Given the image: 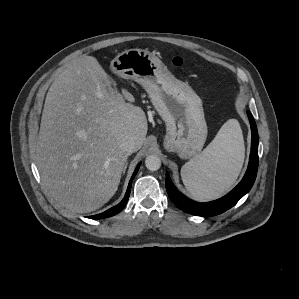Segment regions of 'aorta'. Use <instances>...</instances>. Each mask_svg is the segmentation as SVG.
<instances>
[{"instance_id":"762f6f07","label":"aorta","mask_w":299,"mask_h":299,"mask_svg":"<svg viewBox=\"0 0 299 299\" xmlns=\"http://www.w3.org/2000/svg\"><path fill=\"white\" fill-rule=\"evenodd\" d=\"M145 166L150 171H156L161 167V160L157 155H149L145 159Z\"/></svg>"}]
</instances>
